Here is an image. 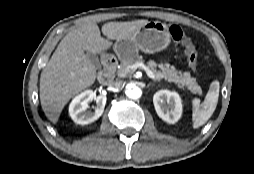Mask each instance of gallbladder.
<instances>
[{
    "instance_id": "gallbladder-1",
    "label": "gallbladder",
    "mask_w": 254,
    "mask_h": 174,
    "mask_svg": "<svg viewBox=\"0 0 254 174\" xmlns=\"http://www.w3.org/2000/svg\"><path fill=\"white\" fill-rule=\"evenodd\" d=\"M87 57L90 59V61L94 64L96 69H100L101 68V64L99 62L98 57L91 52H86Z\"/></svg>"
}]
</instances>
